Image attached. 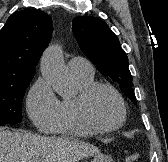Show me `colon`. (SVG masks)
Returning <instances> with one entry per match:
<instances>
[{
	"mask_svg": "<svg viewBox=\"0 0 168 162\" xmlns=\"http://www.w3.org/2000/svg\"><path fill=\"white\" fill-rule=\"evenodd\" d=\"M141 156L138 153H132L126 158V162H140Z\"/></svg>",
	"mask_w": 168,
	"mask_h": 162,
	"instance_id": "obj_1",
	"label": "colon"
}]
</instances>
